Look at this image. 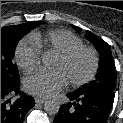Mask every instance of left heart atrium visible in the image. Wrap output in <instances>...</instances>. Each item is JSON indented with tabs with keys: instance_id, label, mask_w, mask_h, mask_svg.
I'll list each match as a JSON object with an SVG mask.
<instances>
[{
	"instance_id": "39dd6f15",
	"label": "left heart atrium",
	"mask_w": 123,
	"mask_h": 123,
	"mask_svg": "<svg viewBox=\"0 0 123 123\" xmlns=\"http://www.w3.org/2000/svg\"><path fill=\"white\" fill-rule=\"evenodd\" d=\"M68 83L64 72L59 69H39L29 74L24 80L27 92L39 97H49L61 90Z\"/></svg>"
}]
</instances>
